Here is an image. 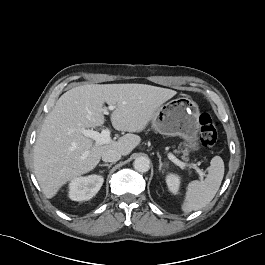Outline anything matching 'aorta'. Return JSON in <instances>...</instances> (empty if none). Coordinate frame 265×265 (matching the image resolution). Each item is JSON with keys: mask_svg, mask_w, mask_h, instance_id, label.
Here are the masks:
<instances>
[{"mask_svg": "<svg viewBox=\"0 0 265 265\" xmlns=\"http://www.w3.org/2000/svg\"><path fill=\"white\" fill-rule=\"evenodd\" d=\"M133 166L136 171L145 173L150 169V160L145 156L137 157L134 160Z\"/></svg>", "mask_w": 265, "mask_h": 265, "instance_id": "1", "label": "aorta"}]
</instances>
